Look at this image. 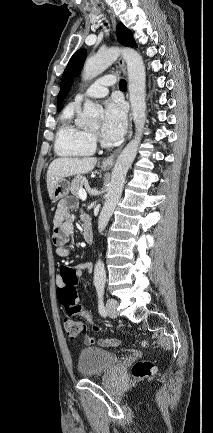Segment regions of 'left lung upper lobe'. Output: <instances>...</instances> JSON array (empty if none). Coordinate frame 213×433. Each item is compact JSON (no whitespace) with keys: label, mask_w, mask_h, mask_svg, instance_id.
Returning <instances> with one entry per match:
<instances>
[{"label":"left lung upper lobe","mask_w":213,"mask_h":433,"mask_svg":"<svg viewBox=\"0 0 213 433\" xmlns=\"http://www.w3.org/2000/svg\"><path fill=\"white\" fill-rule=\"evenodd\" d=\"M117 39L120 44L129 46V47H136V43L133 39L132 33L129 29H127L122 23L117 25ZM87 55L86 49H80L71 57V59L68 62L67 67L65 68L62 79H61V85H60V92L57 97V108L58 111L61 107V103L63 102L65 96L70 90L71 82L75 75L80 72V70L83 67L85 58Z\"/></svg>","instance_id":"obj_1"}]
</instances>
